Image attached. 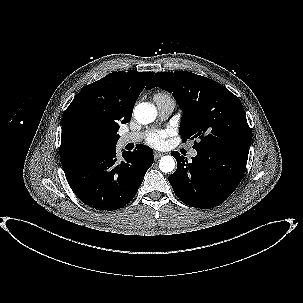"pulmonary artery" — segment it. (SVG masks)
<instances>
[{
	"label": "pulmonary artery",
	"mask_w": 303,
	"mask_h": 303,
	"mask_svg": "<svg viewBox=\"0 0 303 303\" xmlns=\"http://www.w3.org/2000/svg\"><path fill=\"white\" fill-rule=\"evenodd\" d=\"M155 102L157 104L159 117L161 119H166L171 115L175 107L174 100H156ZM141 138H142V134L139 132L125 133L120 136L119 144L121 146H125L129 143H136L140 141ZM189 154L191 157H195L197 155V151L192 149L190 150Z\"/></svg>",
	"instance_id": "e3ab8cb5"
}]
</instances>
